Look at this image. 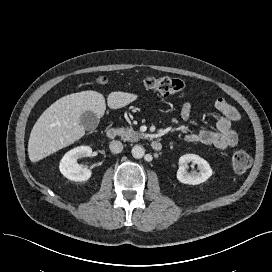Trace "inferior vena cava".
Segmentation results:
<instances>
[{"label":"inferior vena cava","mask_w":272,"mask_h":272,"mask_svg":"<svg viewBox=\"0 0 272 272\" xmlns=\"http://www.w3.org/2000/svg\"><path fill=\"white\" fill-rule=\"evenodd\" d=\"M109 148L113 153H120L123 150V144L120 141L113 140L110 142Z\"/></svg>","instance_id":"1"}]
</instances>
